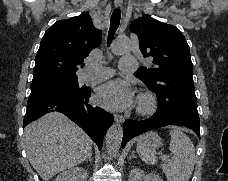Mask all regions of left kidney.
Here are the masks:
<instances>
[{
	"label": "left kidney",
	"mask_w": 228,
	"mask_h": 181,
	"mask_svg": "<svg viewBox=\"0 0 228 181\" xmlns=\"http://www.w3.org/2000/svg\"><path fill=\"white\" fill-rule=\"evenodd\" d=\"M128 181H162L157 175H145L141 169H131Z\"/></svg>",
	"instance_id": "obj_1"
}]
</instances>
